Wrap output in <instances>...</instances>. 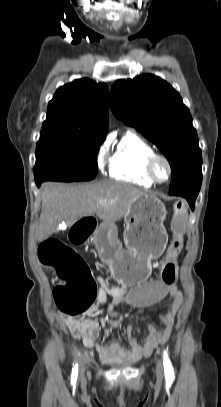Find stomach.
I'll return each instance as SVG.
<instances>
[{"label":"stomach","mask_w":221,"mask_h":407,"mask_svg":"<svg viewBox=\"0 0 221 407\" xmlns=\"http://www.w3.org/2000/svg\"><path fill=\"white\" fill-rule=\"evenodd\" d=\"M164 203L154 195L136 197L130 205L124 222L125 249L112 251L110 268L114 278L126 285L145 281L150 273L151 260L159 258L167 245L168 235L163 222ZM103 223L101 228H111Z\"/></svg>","instance_id":"1"}]
</instances>
